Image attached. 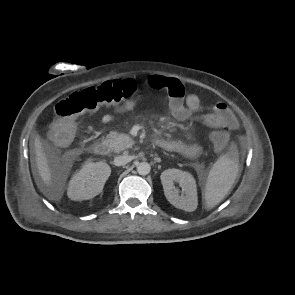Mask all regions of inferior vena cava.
I'll use <instances>...</instances> for the list:
<instances>
[{"mask_svg":"<svg viewBox=\"0 0 295 295\" xmlns=\"http://www.w3.org/2000/svg\"><path fill=\"white\" fill-rule=\"evenodd\" d=\"M131 161V157L128 155H120L114 158L115 166H123Z\"/></svg>","mask_w":295,"mask_h":295,"instance_id":"inferior-vena-cava-1","label":"inferior vena cava"}]
</instances>
